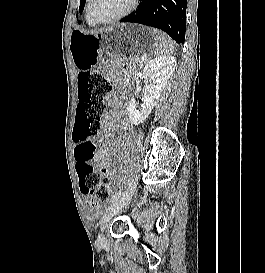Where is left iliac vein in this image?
Segmentation results:
<instances>
[{
	"mask_svg": "<svg viewBox=\"0 0 265 273\" xmlns=\"http://www.w3.org/2000/svg\"><path fill=\"white\" fill-rule=\"evenodd\" d=\"M137 183H138V178H134L131 181V183L129 184L125 193L107 208V210L103 216L102 225L107 223L114 215H116L131 200V198L135 192ZM96 244L99 247H106L107 242H106V239L103 236V234H99Z\"/></svg>",
	"mask_w": 265,
	"mask_h": 273,
	"instance_id": "4c4485c4",
	"label": "left iliac vein"
}]
</instances>
